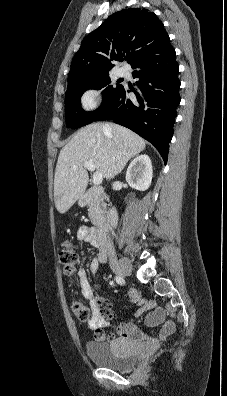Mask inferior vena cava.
<instances>
[{
  "label": "inferior vena cava",
  "mask_w": 227,
  "mask_h": 396,
  "mask_svg": "<svg viewBox=\"0 0 227 396\" xmlns=\"http://www.w3.org/2000/svg\"><path fill=\"white\" fill-rule=\"evenodd\" d=\"M106 248H107V251H108L109 255H113L114 254V246H113V243L110 240H108Z\"/></svg>",
  "instance_id": "1"
}]
</instances>
